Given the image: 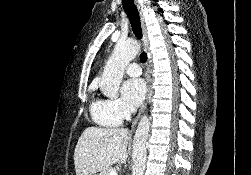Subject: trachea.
Returning a JSON list of instances; mask_svg holds the SVG:
<instances>
[{"instance_id":"trachea-1","label":"trachea","mask_w":251,"mask_h":175,"mask_svg":"<svg viewBox=\"0 0 251 175\" xmlns=\"http://www.w3.org/2000/svg\"><path fill=\"white\" fill-rule=\"evenodd\" d=\"M122 5L129 17L130 24L132 26L133 33L137 38H142V29L140 23L139 12L133 2V0H122ZM147 60V54L142 52L140 55V61L145 63Z\"/></svg>"}]
</instances>
